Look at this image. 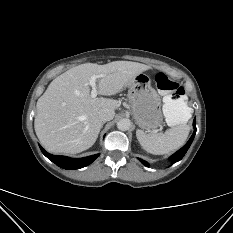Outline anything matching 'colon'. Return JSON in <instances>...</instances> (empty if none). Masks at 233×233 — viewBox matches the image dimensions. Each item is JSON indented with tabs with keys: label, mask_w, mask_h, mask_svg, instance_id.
I'll list each match as a JSON object with an SVG mask.
<instances>
[{
	"label": "colon",
	"mask_w": 233,
	"mask_h": 233,
	"mask_svg": "<svg viewBox=\"0 0 233 233\" xmlns=\"http://www.w3.org/2000/svg\"><path fill=\"white\" fill-rule=\"evenodd\" d=\"M155 84L164 95L163 112L167 122L175 126L188 123L192 116V109L188 104L183 87L164 73H158L155 76Z\"/></svg>",
	"instance_id": "5ec220e1"
}]
</instances>
